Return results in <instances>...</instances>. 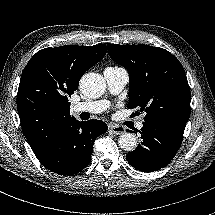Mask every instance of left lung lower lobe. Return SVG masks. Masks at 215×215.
Here are the masks:
<instances>
[{
  "label": "left lung lower lobe",
  "mask_w": 215,
  "mask_h": 215,
  "mask_svg": "<svg viewBox=\"0 0 215 215\" xmlns=\"http://www.w3.org/2000/svg\"><path fill=\"white\" fill-rule=\"evenodd\" d=\"M187 121L155 120L143 122L142 142L126 155L128 163L142 172L157 171L173 159L183 139Z\"/></svg>",
  "instance_id": "0a47b994"
}]
</instances>
